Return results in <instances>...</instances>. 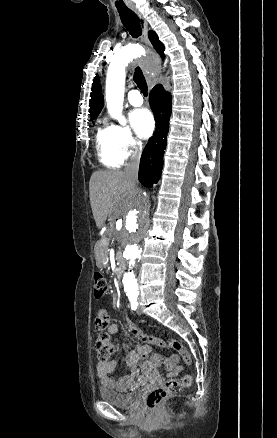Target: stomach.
<instances>
[{"label":"stomach","mask_w":277,"mask_h":438,"mask_svg":"<svg viewBox=\"0 0 277 438\" xmlns=\"http://www.w3.org/2000/svg\"><path fill=\"white\" fill-rule=\"evenodd\" d=\"M98 265H99V266H102L101 260H99Z\"/></svg>","instance_id":"obj_1"}]
</instances>
